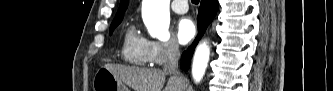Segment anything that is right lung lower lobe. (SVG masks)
Returning a JSON list of instances; mask_svg holds the SVG:
<instances>
[{
  "mask_svg": "<svg viewBox=\"0 0 333 91\" xmlns=\"http://www.w3.org/2000/svg\"><path fill=\"white\" fill-rule=\"evenodd\" d=\"M218 1L217 0H201V5L199 8V14L197 17L198 22V35L193 42V44L185 51L181 58V66L184 70L189 68L190 59L192 57L195 46L197 45L200 38L203 36L206 28L211 23L218 11Z\"/></svg>",
  "mask_w": 333,
  "mask_h": 91,
  "instance_id": "obj_1",
  "label": "right lung lower lobe"
}]
</instances>
